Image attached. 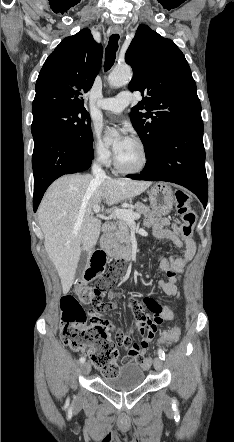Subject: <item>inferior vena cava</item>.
Listing matches in <instances>:
<instances>
[{
    "mask_svg": "<svg viewBox=\"0 0 234 442\" xmlns=\"http://www.w3.org/2000/svg\"><path fill=\"white\" fill-rule=\"evenodd\" d=\"M92 173L93 175L97 178V179H101L104 180L107 178L105 172L103 171L101 164H100V159H98L97 163H94L92 166Z\"/></svg>",
    "mask_w": 234,
    "mask_h": 442,
    "instance_id": "1",
    "label": "inferior vena cava"
}]
</instances>
